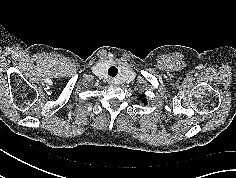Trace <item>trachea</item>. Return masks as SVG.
Returning a JSON list of instances; mask_svg holds the SVG:
<instances>
[{
    "label": "trachea",
    "instance_id": "3493384b",
    "mask_svg": "<svg viewBox=\"0 0 236 178\" xmlns=\"http://www.w3.org/2000/svg\"><path fill=\"white\" fill-rule=\"evenodd\" d=\"M118 73V70L115 66H111L109 69H108V75L111 76V77H115Z\"/></svg>",
    "mask_w": 236,
    "mask_h": 178
}]
</instances>
